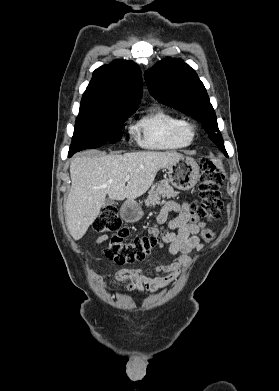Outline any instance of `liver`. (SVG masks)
Returning a JSON list of instances; mask_svg holds the SVG:
<instances>
[{
    "mask_svg": "<svg viewBox=\"0 0 279 391\" xmlns=\"http://www.w3.org/2000/svg\"><path fill=\"white\" fill-rule=\"evenodd\" d=\"M178 152H131L123 155L90 153L72 160L71 189L65 205L66 225L81 239L100 213L106 195L112 200H134L152 185L159 170L177 162ZM129 176L127 185L125 178Z\"/></svg>",
    "mask_w": 279,
    "mask_h": 391,
    "instance_id": "obj_1",
    "label": "liver"
}]
</instances>
